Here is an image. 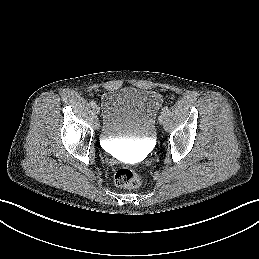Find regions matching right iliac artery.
I'll return each instance as SVG.
<instances>
[{"mask_svg":"<svg viewBox=\"0 0 259 259\" xmlns=\"http://www.w3.org/2000/svg\"><path fill=\"white\" fill-rule=\"evenodd\" d=\"M96 105V103L94 101L90 102V106L94 107Z\"/></svg>","mask_w":259,"mask_h":259,"instance_id":"obj_1","label":"right iliac artery"}]
</instances>
